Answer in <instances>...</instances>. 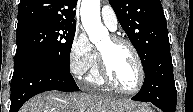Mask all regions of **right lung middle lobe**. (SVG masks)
I'll list each match as a JSON object with an SVG mask.
<instances>
[{
    "instance_id": "dd1d6c3e",
    "label": "right lung middle lobe",
    "mask_w": 193,
    "mask_h": 112,
    "mask_svg": "<svg viewBox=\"0 0 193 112\" xmlns=\"http://www.w3.org/2000/svg\"><path fill=\"white\" fill-rule=\"evenodd\" d=\"M75 30L76 25L62 23H38L17 29L14 69L34 60H47L69 70Z\"/></svg>"
}]
</instances>
